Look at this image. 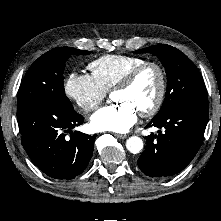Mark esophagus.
Returning a JSON list of instances; mask_svg holds the SVG:
<instances>
[{"label":"esophagus","instance_id":"esophagus-1","mask_svg":"<svg viewBox=\"0 0 221 221\" xmlns=\"http://www.w3.org/2000/svg\"><path fill=\"white\" fill-rule=\"evenodd\" d=\"M115 136L119 139H125L127 138V135L126 134H115Z\"/></svg>","mask_w":221,"mask_h":221}]
</instances>
